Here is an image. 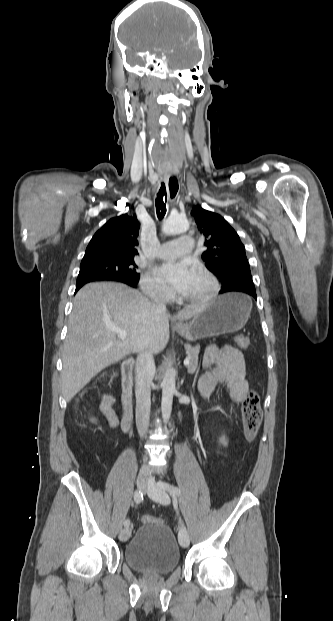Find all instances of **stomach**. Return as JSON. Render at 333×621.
Returning a JSON list of instances; mask_svg holds the SVG:
<instances>
[{"instance_id": "0dacf381", "label": "stomach", "mask_w": 333, "mask_h": 621, "mask_svg": "<svg viewBox=\"0 0 333 621\" xmlns=\"http://www.w3.org/2000/svg\"><path fill=\"white\" fill-rule=\"evenodd\" d=\"M252 304L245 294L228 293L208 302L190 321L189 341L214 337L241 329L248 320Z\"/></svg>"}]
</instances>
